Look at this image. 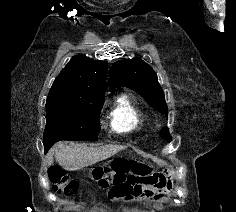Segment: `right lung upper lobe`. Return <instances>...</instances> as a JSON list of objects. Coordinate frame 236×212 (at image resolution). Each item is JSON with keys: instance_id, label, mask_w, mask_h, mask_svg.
<instances>
[{"instance_id": "obj_1", "label": "right lung upper lobe", "mask_w": 236, "mask_h": 212, "mask_svg": "<svg viewBox=\"0 0 236 212\" xmlns=\"http://www.w3.org/2000/svg\"><path fill=\"white\" fill-rule=\"evenodd\" d=\"M107 63L75 55L57 76L46 102L87 103L104 98Z\"/></svg>"}]
</instances>
